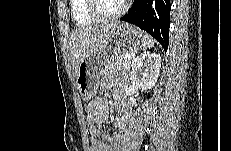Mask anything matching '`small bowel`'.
<instances>
[{"label": "small bowel", "mask_w": 231, "mask_h": 151, "mask_svg": "<svg viewBox=\"0 0 231 151\" xmlns=\"http://www.w3.org/2000/svg\"><path fill=\"white\" fill-rule=\"evenodd\" d=\"M103 90H112L116 99V110L121 114L113 121L114 134L100 129V126L109 119L108 100L97 97L92 100L87 110L88 130L91 135V151H118L123 135V129L129 117V105L124 99L123 90L109 81L102 83Z\"/></svg>", "instance_id": "c3829d8e"}]
</instances>
